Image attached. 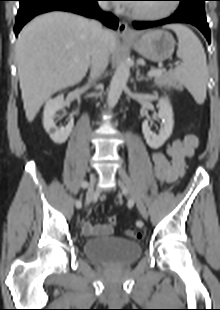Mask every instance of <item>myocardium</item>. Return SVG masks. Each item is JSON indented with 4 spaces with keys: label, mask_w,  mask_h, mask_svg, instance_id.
Instances as JSON below:
<instances>
[{
    "label": "myocardium",
    "mask_w": 220,
    "mask_h": 310,
    "mask_svg": "<svg viewBox=\"0 0 220 310\" xmlns=\"http://www.w3.org/2000/svg\"><path fill=\"white\" fill-rule=\"evenodd\" d=\"M176 10V6L173 4H166L164 8L157 13H147L144 11H139V10H132L130 12L131 16L139 19V20H146V21H156V20H161L164 19L168 16H170L172 13H174Z\"/></svg>",
    "instance_id": "f54148a6"
}]
</instances>
